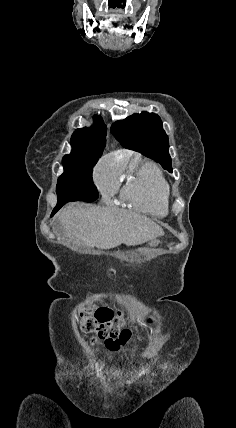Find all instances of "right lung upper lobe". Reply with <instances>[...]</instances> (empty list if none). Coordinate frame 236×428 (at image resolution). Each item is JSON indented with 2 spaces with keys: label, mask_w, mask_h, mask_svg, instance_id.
Masks as SVG:
<instances>
[{
  "label": "right lung upper lobe",
  "mask_w": 236,
  "mask_h": 428,
  "mask_svg": "<svg viewBox=\"0 0 236 428\" xmlns=\"http://www.w3.org/2000/svg\"><path fill=\"white\" fill-rule=\"evenodd\" d=\"M102 118L94 117L90 128L77 129L71 137L72 150L62 159L63 166L95 165L105 147L106 126H101ZM99 125V126H98Z\"/></svg>",
  "instance_id": "1"
}]
</instances>
